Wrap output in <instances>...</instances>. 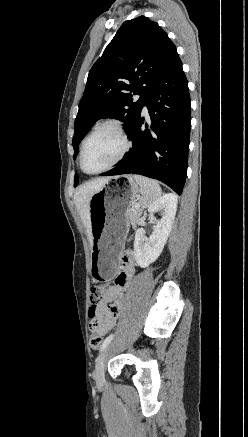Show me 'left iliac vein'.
Returning a JSON list of instances; mask_svg holds the SVG:
<instances>
[{"mask_svg":"<svg viewBox=\"0 0 248 437\" xmlns=\"http://www.w3.org/2000/svg\"><path fill=\"white\" fill-rule=\"evenodd\" d=\"M109 350H110V345L108 344L105 347V349L102 351V353L99 355L96 361V368L93 373V377L96 381V384L99 386H101L104 382L105 361Z\"/></svg>","mask_w":248,"mask_h":437,"instance_id":"1","label":"left iliac vein"}]
</instances>
